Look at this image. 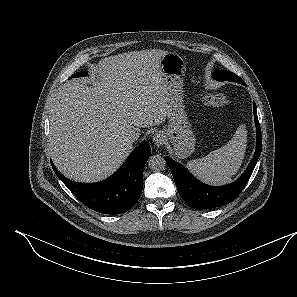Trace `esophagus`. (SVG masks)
<instances>
[{"mask_svg":"<svg viewBox=\"0 0 297 297\" xmlns=\"http://www.w3.org/2000/svg\"><path fill=\"white\" fill-rule=\"evenodd\" d=\"M152 140L156 147H160L164 144L165 137L162 133H156V134H154Z\"/></svg>","mask_w":297,"mask_h":297,"instance_id":"1","label":"esophagus"}]
</instances>
